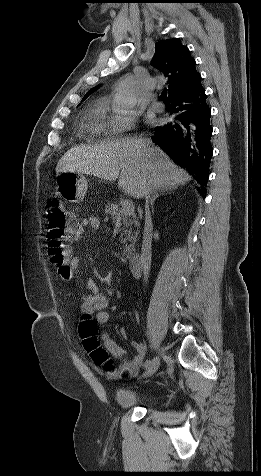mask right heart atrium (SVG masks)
<instances>
[{
  "label": "right heart atrium",
  "mask_w": 261,
  "mask_h": 476,
  "mask_svg": "<svg viewBox=\"0 0 261 476\" xmlns=\"http://www.w3.org/2000/svg\"><path fill=\"white\" fill-rule=\"evenodd\" d=\"M137 121L135 111L116 112L107 124V131L112 135H120L134 128Z\"/></svg>",
  "instance_id": "d8ad5b80"
}]
</instances>
